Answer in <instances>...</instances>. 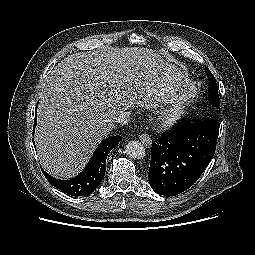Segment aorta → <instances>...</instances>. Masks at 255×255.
Returning <instances> with one entry per match:
<instances>
[{
	"label": "aorta",
	"mask_w": 255,
	"mask_h": 255,
	"mask_svg": "<svg viewBox=\"0 0 255 255\" xmlns=\"http://www.w3.org/2000/svg\"><path fill=\"white\" fill-rule=\"evenodd\" d=\"M126 153L133 159H143L146 155L144 146L139 141H129Z\"/></svg>",
	"instance_id": "762f6f07"
}]
</instances>
